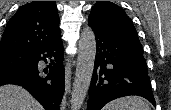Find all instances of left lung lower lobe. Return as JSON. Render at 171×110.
<instances>
[{"mask_svg":"<svg viewBox=\"0 0 171 110\" xmlns=\"http://www.w3.org/2000/svg\"><path fill=\"white\" fill-rule=\"evenodd\" d=\"M88 23L97 45L88 110H100L109 101L128 95L142 96L156 106L143 50Z\"/></svg>","mask_w":171,"mask_h":110,"instance_id":"left-lung-lower-lobe-1","label":"left lung lower lobe"}]
</instances>
